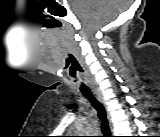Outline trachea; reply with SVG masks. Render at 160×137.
Masks as SVG:
<instances>
[{
	"label": "trachea",
	"mask_w": 160,
	"mask_h": 137,
	"mask_svg": "<svg viewBox=\"0 0 160 137\" xmlns=\"http://www.w3.org/2000/svg\"><path fill=\"white\" fill-rule=\"evenodd\" d=\"M72 61V66L71 69H73V73L71 75L75 77V82L77 81L78 83L81 84V88L84 89L86 86L81 80L79 76H76V71L82 72V68L80 67L79 63L76 61L74 57L71 58ZM82 94L90 101L92 106L97 110L98 112V117L101 121V130L104 136L102 137H112L111 132L109 129L107 117H106V111L104 106L93 96V94L90 91H81Z\"/></svg>",
	"instance_id": "trachea-1"
}]
</instances>
